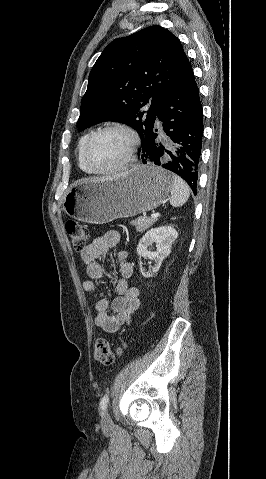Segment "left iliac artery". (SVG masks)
Here are the masks:
<instances>
[{"label":"left iliac artery","instance_id":"1","mask_svg":"<svg viewBox=\"0 0 266 479\" xmlns=\"http://www.w3.org/2000/svg\"><path fill=\"white\" fill-rule=\"evenodd\" d=\"M108 401H109V395L107 393L101 398V401H100L101 414H103V412L106 410Z\"/></svg>","mask_w":266,"mask_h":479}]
</instances>
